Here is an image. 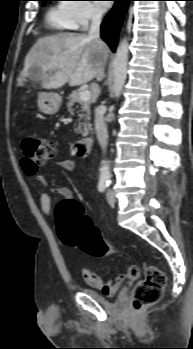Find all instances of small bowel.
Here are the masks:
<instances>
[{
  "mask_svg": "<svg viewBox=\"0 0 193 349\" xmlns=\"http://www.w3.org/2000/svg\"><path fill=\"white\" fill-rule=\"evenodd\" d=\"M61 168L67 171H72L75 168V161L68 157L65 158L57 163ZM22 167L25 171V173L33 177L38 183H40L43 186L47 185L46 177L38 172V169H34L31 164L26 163L25 160H22ZM55 192L59 194L61 197L65 199H70L72 196L71 190L64 186H59L55 188ZM40 206L41 210L45 215H50L52 210V199L49 193L43 192L40 195ZM83 278L85 282L94 287L102 290L106 294H113L123 283L124 280H135L137 279L139 275V270L136 266H130L127 268L126 271L120 273L117 277H115L113 280H110L108 282H104V280L94 272L84 269L83 272Z\"/></svg>",
  "mask_w": 193,
  "mask_h": 349,
  "instance_id": "1",
  "label": "small bowel"
}]
</instances>
